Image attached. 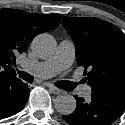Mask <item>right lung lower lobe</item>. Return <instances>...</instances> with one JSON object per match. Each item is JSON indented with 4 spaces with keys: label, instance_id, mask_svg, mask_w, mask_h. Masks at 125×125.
<instances>
[{
    "label": "right lung lower lobe",
    "instance_id": "obj_1",
    "mask_svg": "<svg viewBox=\"0 0 125 125\" xmlns=\"http://www.w3.org/2000/svg\"><path fill=\"white\" fill-rule=\"evenodd\" d=\"M30 94L26 83L14 77L0 81V119L10 117L20 112L25 106Z\"/></svg>",
    "mask_w": 125,
    "mask_h": 125
}]
</instances>
